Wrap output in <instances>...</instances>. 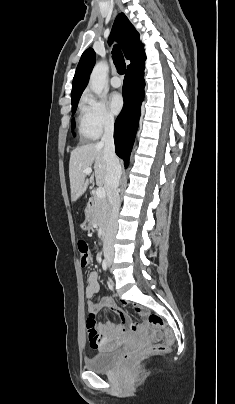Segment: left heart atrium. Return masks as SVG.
<instances>
[{"label": "left heart atrium", "mask_w": 235, "mask_h": 404, "mask_svg": "<svg viewBox=\"0 0 235 404\" xmlns=\"http://www.w3.org/2000/svg\"><path fill=\"white\" fill-rule=\"evenodd\" d=\"M109 106L114 114H118L124 106V100L121 94L116 92L112 93L109 97Z\"/></svg>", "instance_id": "left-heart-atrium-1"}]
</instances>
